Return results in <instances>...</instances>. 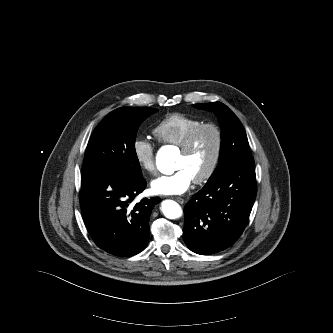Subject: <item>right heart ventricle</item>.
Returning <instances> with one entry per match:
<instances>
[{
  "label": "right heart ventricle",
  "instance_id": "1",
  "mask_svg": "<svg viewBox=\"0 0 333 333\" xmlns=\"http://www.w3.org/2000/svg\"><path fill=\"white\" fill-rule=\"evenodd\" d=\"M203 121L180 113H173L162 119L153 133L160 142L180 146L187 135Z\"/></svg>",
  "mask_w": 333,
  "mask_h": 333
}]
</instances>
